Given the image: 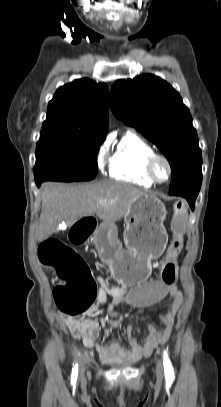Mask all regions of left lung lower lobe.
I'll list each match as a JSON object with an SVG mask.
<instances>
[{
	"label": "left lung lower lobe",
	"mask_w": 221,
	"mask_h": 407,
	"mask_svg": "<svg viewBox=\"0 0 221 407\" xmlns=\"http://www.w3.org/2000/svg\"><path fill=\"white\" fill-rule=\"evenodd\" d=\"M202 182V174L194 177L169 191L170 195L181 196L187 199L192 210L195 207V200L198 196Z\"/></svg>",
	"instance_id": "left-lung-lower-lobe-1"
}]
</instances>
